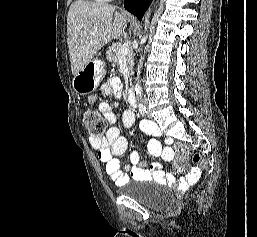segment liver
<instances>
[{
  "label": "liver",
  "instance_id": "6515ba94",
  "mask_svg": "<svg viewBox=\"0 0 257 237\" xmlns=\"http://www.w3.org/2000/svg\"><path fill=\"white\" fill-rule=\"evenodd\" d=\"M127 20L108 4L73 2L68 11L67 36L72 74L75 76L112 39L120 38Z\"/></svg>",
  "mask_w": 257,
  "mask_h": 237
}]
</instances>
